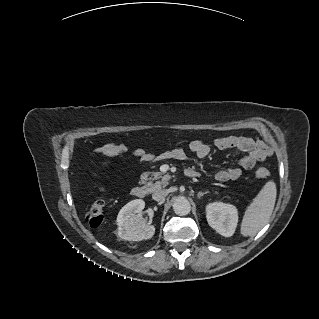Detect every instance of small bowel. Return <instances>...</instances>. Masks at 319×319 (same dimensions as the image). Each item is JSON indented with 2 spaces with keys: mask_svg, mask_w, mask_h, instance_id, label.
<instances>
[{
  "mask_svg": "<svg viewBox=\"0 0 319 319\" xmlns=\"http://www.w3.org/2000/svg\"><path fill=\"white\" fill-rule=\"evenodd\" d=\"M214 146L220 150L236 149L246 153L240 158L238 165L225 169H219L215 172V179L219 182H227L237 180L241 177L243 171L252 170L258 162L265 160L269 154V150L258 139L246 136H228L217 138ZM189 149L198 158H206L211 151L210 146L203 140H193L189 144ZM96 153L102 158V165L109 170L107 159L117 155H133L144 162H149L154 157L142 147H130L122 142H111L101 146ZM164 157L185 160L187 153L183 148H174L162 153Z\"/></svg>",
  "mask_w": 319,
  "mask_h": 319,
  "instance_id": "1",
  "label": "small bowel"
}]
</instances>
